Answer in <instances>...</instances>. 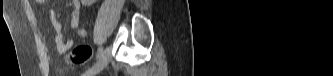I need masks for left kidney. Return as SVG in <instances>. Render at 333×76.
Here are the masks:
<instances>
[{
	"instance_id": "left-kidney-1",
	"label": "left kidney",
	"mask_w": 333,
	"mask_h": 76,
	"mask_svg": "<svg viewBox=\"0 0 333 76\" xmlns=\"http://www.w3.org/2000/svg\"><path fill=\"white\" fill-rule=\"evenodd\" d=\"M82 2H85V1H82ZM91 2H94V0H91Z\"/></svg>"
}]
</instances>
